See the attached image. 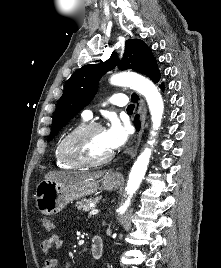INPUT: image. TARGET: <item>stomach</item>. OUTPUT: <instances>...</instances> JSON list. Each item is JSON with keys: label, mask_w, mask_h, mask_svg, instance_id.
<instances>
[{"label": "stomach", "mask_w": 221, "mask_h": 268, "mask_svg": "<svg viewBox=\"0 0 221 268\" xmlns=\"http://www.w3.org/2000/svg\"><path fill=\"white\" fill-rule=\"evenodd\" d=\"M121 178L106 172L101 179L76 183L41 181L35 190L36 207L47 216L59 213L68 203L94 194L98 189L115 190Z\"/></svg>", "instance_id": "obj_1"}]
</instances>
